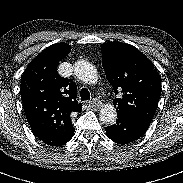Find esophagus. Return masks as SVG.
<instances>
[{
    "instance_id": "34e87169",
    "label": "esophagus",
    "mask_w": 183,
    "mask_h": 183,
    "mask_svg": "<svg viewBox=\"0 0 183 183\" xmlns=\"http://www.w3.org/2000/svg\"><path fill=\"white\" fill-rule=\"evenodd\" d=\"M85 107L86 108H95V109H99L101 108V102L98 100H90L85 102Z\"/></svg>"
}]
</instances>
